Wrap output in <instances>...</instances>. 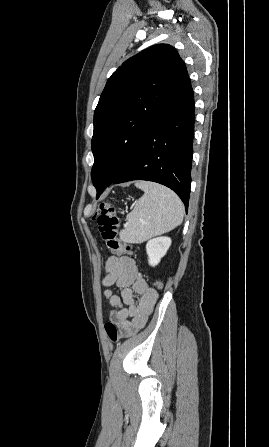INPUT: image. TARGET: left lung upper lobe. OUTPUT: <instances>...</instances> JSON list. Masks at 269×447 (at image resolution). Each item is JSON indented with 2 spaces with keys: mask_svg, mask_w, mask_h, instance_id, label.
<instances>
[{
  "mask_svg": "<svg viewBox=\"0 0 269 447\" xmlns=\"http://www.w3.org/2000/svg\"><path fill=\"white\" fill-rule=\"evenodd\" d=\"M185 64L170 45H154L125 61L108 79L94 113L91 178L112 183L162 116Z\"/></svg>",
  "mask_w": 269,
  "mask_h": 447,
  "instance_id": "obj_1",
  "label": "left lung upper lobe"
}]
</instances>
